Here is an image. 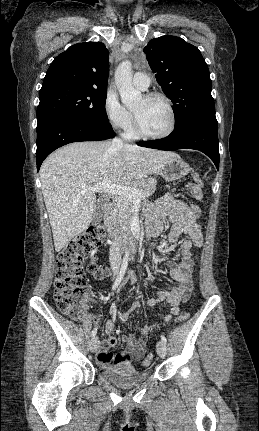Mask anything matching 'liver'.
<instances>
[{
  "mask_svg": "<svg viewBox=\"0 0 259 431\" xmlns=\"http://www.w3.org/2000/svg\"><path fill=\"white\" fill-rule=\"evenodd\" d=\"M172 152L110 141L68 144L47 157L40 168L42 193L49 215L56 251L84 232L96 208L92 184L110 181L120 185L156 173Z\"/></svg>",
  "mask_w": 259,
  "mask_h": 431,
  "instance_id": "1",
  "label": "liver"
}]
</instances>
